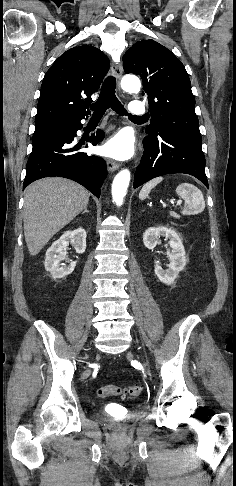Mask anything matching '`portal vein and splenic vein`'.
Segmentation results:
<instances>
[{"instance_id":"18ae733b","label":"portal vein and splenic vein","mask_w":236,"mask_h":486,"mask_svg":"<svg viewBox=\"0 0 236 486\" xmlns=\"http://www.w3.org/2000/svg\"><path fill=\"white\" fill-rule=\"evenodd\" d=\"M182 204V201L181 200H178L177 201V205H181Z\"/></svg>"}]
</instances>
